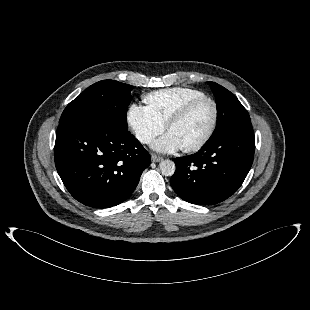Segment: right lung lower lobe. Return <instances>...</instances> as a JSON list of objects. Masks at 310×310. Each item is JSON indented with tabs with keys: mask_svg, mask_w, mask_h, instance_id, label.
Wrapping results in <instances>:
<instances>
[{
	"mask_svg": "<svg viewBox=\"0 0 310 310\" xmlns=\"http://www.w3.org/2000/svg\"><path fill=\"white\" fill-rule=\"evenodd\" d=\"M54 158L70 194L94 208L112 207L127 199L151 162L129 131L80 121L58 126Z\"/></svg>",
	"mask_w": 310,
	"mask_h": 310,
	"instance_id": "obj_1",
	"label": "right lung lower lobe"
}]
</instances>
